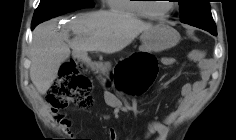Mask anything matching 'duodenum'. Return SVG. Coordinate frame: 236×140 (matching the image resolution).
Masks as SVG:
<instances>
[{
	"label": "duodenum",
	"mask_w": 236,
	"mask_h": 140,
	"mask_svg": "<svg viewBox=\"0 0 236 140\" xmlns=\"http://www.w3.org/2000/svg\"><path fill=\"white\" fill-rule=\"evenodd\" d=\"M78 55H79V56H84V55H85V53H78Z\"/></svg>",
	"instance_id": "duodenum-1"
}]
</instances>
